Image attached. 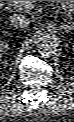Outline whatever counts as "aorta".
Listing matches in <instances>:
<instances>
[{
	"label": "aorta",
	"mask_w": 74,
	"mask_h": 122,
	"mask_svg": "<svg viewBox=\"0 0 74 122\" xmlns=\"http://www.w3.org/2000/svg\"><path fill=\"white\" fill-rule=\"evenodd\" d=\"M58 41L50 34H43L37 40V48L40 55L50 57L58 53Z\"/></svg>",
	"instance_id": "obj_1"
}]
</instances>
